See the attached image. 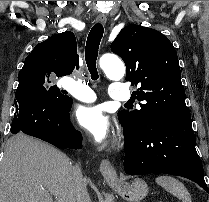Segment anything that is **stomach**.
I'll use <instances>...</instances> for the list:
<instances>
[{
  "mask_svg": "<svg viewBox=\"0 0 209 202\" xmlns=\"http://www.w3.org/2000/svg\"><path fill=\"white\" fill-rule=\"evenodd\" d=\"M109 185L125 200L139 202L148 194L147 183L136 178L131 183L123 181L108 180Z\"/></svg>",
  "mask_w": 209,
  "mask_h": 202,
  "instance_id": "obj_1",
  "label": "stomach"
}]
</instances>
